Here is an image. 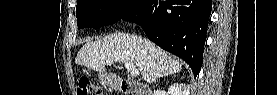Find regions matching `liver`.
I'll return each mask as SVG.
<instances>
[{
	"label": "liver",
	"instance_id": "liver-1",
	"mask_svg": "<svg viewBox=\"0 0 277 95\" xmlns=\"http://www.w3.org/2000/svg\"><path fill=\"white\" fill-rule=\"evenodd\" d=\"M107 60L129 62L139 70L142 79L148 83L182 70L179 60L172 58L148 39L125 33H114L87 42L79 50L75 62L103 73Z\"/></svg>",
	"mask_w": 277,
	"mask_h": 95
}]
</instances>
